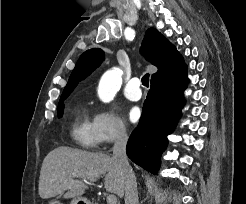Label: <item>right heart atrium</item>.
Segmentation results:
<instances>
[{"mask_svg":"<svg viewBox=\"0 0 246 204\" xmlns=\"http://www.w3.org/2000/svg\"><path fill=\"white\" fill-rule=\"evenodd\" d=\"M98 144L110 145L128 136V128L122 118L109 108L98 110L93 116Z\"/></svg>","mask_w":246,"mask_h":204,"instance_id":"d8ad5b80","label":"right heart atrium"}]
</instances>
